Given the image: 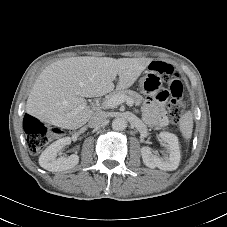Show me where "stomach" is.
<instances>
[{"label": "stomach", "instance_id": "1", "mask_svg": "<svg viewBox=\"0 0 227 227\" xmlns=\"http://www.w3.org/2000/svg\"><path fill=\"white\" fill-rule=\"evenodd\" d=\"M163 81L161 75L154 71L148 70L139 80V88L144 95H155L162 89Z\"/></svg>", "mask_w": 227, "mask_h": 227}]
</instances>
